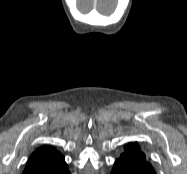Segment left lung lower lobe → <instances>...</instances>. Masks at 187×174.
Masks as SVG:
<instances>
[{"instance_id":"obj_1","label":"left lung lower lobe","mask_w":187,"mask_h":174,"mask_svg":"<svg viewBox=\"0 0 187 174\" xmlns=\"http://www.w3.org/2000/svg\"><path fill=\"white\" fill-rule=\"evenodd\" d=\"M111 174H156L154 170L143 169L141 173L135 169L125 168L121 163L115 162Z\"/></svg>"}]
</instances>
